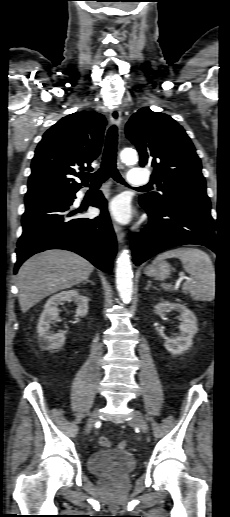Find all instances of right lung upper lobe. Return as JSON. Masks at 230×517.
<instances>
[{"label": "right lung upper lobe", "instance_id": "right-lung-upper-lobe-1", "mask_svg": "<svg viewBox=\"0 0 230 517\" xmlns=\"http://www.w3.org/2000/svg\"><path fill=\"white\" fill-rule=\"evenodd\" d=\"M105 125L103 115L82 111L63 117L47 130L32 160L25 202L74 194L86 186L87 181L77 171L90 169L100 154Z\"/></svg>", "mask_w": 230, "mask_h": 517}]
</instances>
